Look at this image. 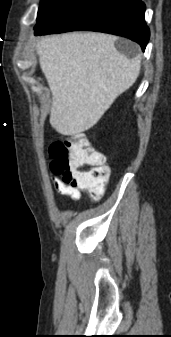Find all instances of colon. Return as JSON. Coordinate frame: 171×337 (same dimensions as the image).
<instances>
[{
	"mask_svg": "<svg viewBox=\"0 0 171 337\" xmlns=\"http://www.w3.org/2000/svg\"><path fill=\"white\" fill-rule=\"evenodd\" d=\"M51 169L62 181L100 199L105 191L110 171L105 155L95 149L87 136L76 132L52 142L49 148Z\"/></svg>",
	"mask_w": 171,
	"mask_h": 337,
	"instance_id": "obj_1",
	"label": "colon"
}]
</instances>
